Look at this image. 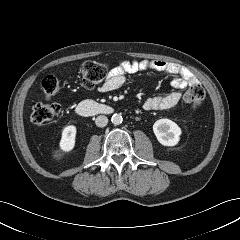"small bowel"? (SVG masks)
Instances as JSON below:
<instances>
[{
  "label": "small bowel",
  "mask_w": 240,
  "mask_h": 240,
  "mask_svg": "<svg viewBox=\"0 0 240 240\" xmlns=\"http://www.w3.org/2000/svg\"><path fill=\"white\" fill-rule=\"evenodd\" d=\"M137 72H155L172 77V85L175 91L166 95L147 98L143 103L146 111L167 110L178 105L181 99V90L187 86L198 84V79L187 68L173 62L163 60H122L117 66L112 68L99 87L101 92H110L120 88L126 80V75Z\"/></svg>",
  "instance_id": "1"
}]
</instances>
